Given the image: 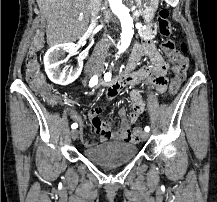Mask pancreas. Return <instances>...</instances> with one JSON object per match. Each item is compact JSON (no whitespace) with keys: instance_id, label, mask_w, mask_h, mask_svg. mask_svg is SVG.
Wrapping results in <instances>:
<instances>
[{"instance_id":"pancreas-1","label":"pancreas","mask_w":217,"mask_h":202,"mask_svg":"<svg viewBox=\"0 0 217 202\" xmlns=\"http://www.w3.org/2000/svg\"><path fill=\"white\" fill-rule=\"evenodd\" d=\"M155 30H139V35L144 38L146 41H152L155 37Z\"/></svg>"}]
</instances>
